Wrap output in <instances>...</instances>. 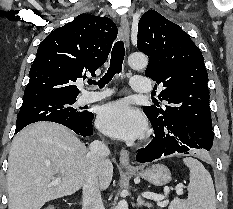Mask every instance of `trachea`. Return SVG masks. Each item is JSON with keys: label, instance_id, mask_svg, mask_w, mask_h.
I'll return each mask as SVG.
<instances>
[{"label": "trachea", "instance_id": "1", "mask_svg": "<svg viewBox=\"0 0 233 209\" xmlns=\"http://www.w3.org/2000/svg\"><path fill=\"white\" fill-rule=\"evenodd\" d=\"M124 56V43L122 41H117L112 49L110 66L107 73L98 82H96L95 80H88L87 83L89 85L97 84L99 88H103L112 80L115 74L121 73Z\"/></svg>", "mask_w": 233, "mask_h": 209}]
</instances>
